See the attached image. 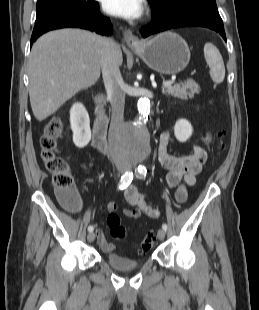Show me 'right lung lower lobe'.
Here are the masks:
<instances>
[{
    "instance_id": "1",
    "label": "right lung lower lobe",
    "mask_w": 259,
    "mask_h": 310,
    "mask_svg": "<svg viewBox=\"0 0 259 310\" xmlns=\"http://www.w3.org/2000/svg\"><path fill=\"white\" fill-rule=\"evenodd\" d=\"M64 27L88 29L104 35H111L113 32L110 19L101 15L98 3L92 1V4L85 10L73 13L50 14L39 21H35L31 44L42 34Z\"/></svg>"
}]
</instances>
